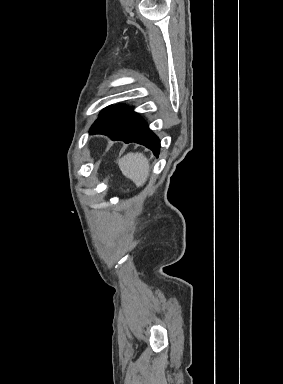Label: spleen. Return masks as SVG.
I'll list each match as a JSON object with an SVG mask.
<instances>
[{
	"label": "spleen",
	"mask_w": 283,
	"mask_h": 384,
	"mask_svg": "<svg viewBox=\"0 0 283 384\" xmlns=\"http://www.w3.org/2000/svg\"><path fill=\"white\" fill-rule=\"evenodd\" d=\"M118 166L126 178L132 180L136 184L137 188L145 184L149 176V162L148 158L144 154H126L123 158L118 160Z\"/></svg>",
	"instance_id": "obj_1"
}]
</instances>
